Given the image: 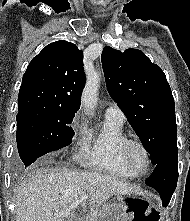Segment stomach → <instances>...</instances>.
Wrapping results in <instances>:
<instances>
[{
    "mask_svg": "<svg viewBox=\"0 0 190 221\" xmlns=\"http://www.w3.org/2000/svg\"><path fill=\"white\" fill-rule=\"evenodd\" d=\"M97 221H159L164 213L160 212L157 204L153 200H118V205L112 206L103 204L96 210ZM126 217H146V218H126Z\"/></svg>",
    "mask_w": 190,
    "mask_h": 221,
    "instance_id": "0dacf381",
    "label": "stomach"
}]
</instances>
